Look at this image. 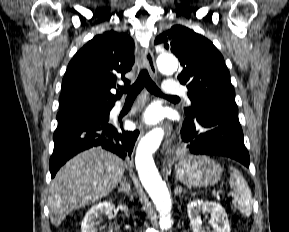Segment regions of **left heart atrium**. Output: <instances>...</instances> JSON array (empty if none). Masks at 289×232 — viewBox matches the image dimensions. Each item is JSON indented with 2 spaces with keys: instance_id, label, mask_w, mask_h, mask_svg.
Returning a JSON list of instances; mask_svg holds the SVG:
<instances>
[{
  "instance_id": "left-heart-atrium-1",
  "label": "left heart atrium",
  "mask_w": 289,
  "mask_h": 232,
  "mask_svg": "<svg viewBox=\"0 0 289 232\" xmlns=\"http://www.w3.org/2000/svg\"><path fill=\"white\" fill-rule=\"evenodd\" d=\"M162 118L160 111L156 108H148L142 116V122L146 125H154Z\"/></svg>"
}]
</instances>
